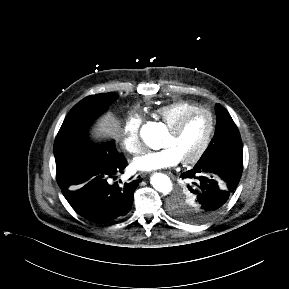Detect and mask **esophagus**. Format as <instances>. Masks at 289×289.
Wrapping results in <instances>:
<instances>
[{
	"label": "esophagus",
	"instance_id": "34e87169",
	"mask_svg": "<svg viewBox=\"0 0 289 289\" xmlns=\"http://www.w3.org/2000/svg\"><path fill=\"white\" fill-rule=\"evenodd\" d=\"M167 175L173 178V175L171 172H168Z\"/></svg>",
	"mask_w": 289,
	"mask_h": 289
}]
</instances>
